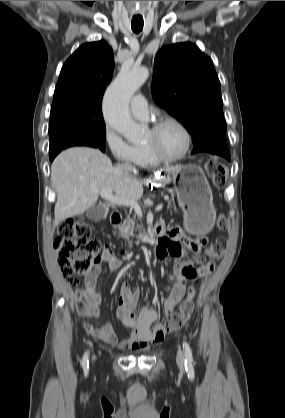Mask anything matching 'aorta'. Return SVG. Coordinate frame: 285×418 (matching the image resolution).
<instances>
[{"label":"aorta","instance_id":"1","mask_svg":"<svg viewBox=\"0 0 285 418\" xmlns=\"http://www.w3.org/2000/svg\"><path fill=\"white\" fill-rule=\"evenodd\" d=\"M148 77L149 70L146 67H124L104 96L103 114L107 125L130 142L140 141L144 129L131 118L129 101Z\"/></svg>","mask_w":285,"mask_h":418}]
</instances>
